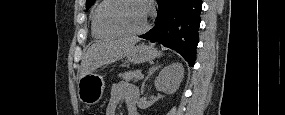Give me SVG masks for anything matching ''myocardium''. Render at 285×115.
Returning <instances> with one entry per match:
<instances>
[{
  "label": "myocardium",
  "mask_w": 285,
  "mask_h": 115,
  "mask_svg": "<svg viewBox=\"0 0 285 115\" xmlns=\"http://www.w3.org/2000/svg\"><path fill=\"white\" fill-rule=\"evenodd\" d=\"M122 1H139L145 6L146 20H145L144 26L141 29L134 31V32H129V31L122 30L121 28L113 24H110L109 22L106 21L105 10L109 6L122 2ZM150 17H151V6L147 0H104L99 6L98 11H97V22L101 28H103L106 31L115 33L119 36H125V37H135V36H140L144 34L149 29Z\"/></svg>",
  "instance_id": "f54148a6"
}]
</instances>
